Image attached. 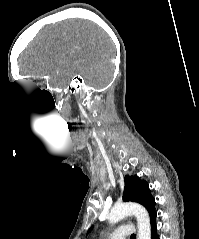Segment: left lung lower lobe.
<instances>
[{
	"instance_id": "obj_1",
	"label": "left lung lower lobe",
	"mask_w": 199,
	"mask_h": 239,
	"mask_svg": "<svg viewBox=\"0 0 199 239\" xmlns=\"http://www.w3.org/2000/svg\"><path fill=\"white\" fill-rule=\"evenodd\" d=\"M155 220H156V213L150 216L151 239H159Z\"/></svg>"
}]
</instances>
